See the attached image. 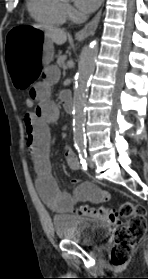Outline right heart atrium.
<instances>
[{"label":"right heart atrium","mask_w":148,"mask_h":279,"mask_svg":"<svg viewBox=\"0 0 148 279\" xmlns=\"http://www.w3.org/2000/svg\"><path fill=\"white\" fill-rule=\"evenodd\" d=\"M66 14L72 16L74 14L73 9L70 6H65Z\"/></svg>","instance_id":"right-heart-atrium-1"}]
</instances>
